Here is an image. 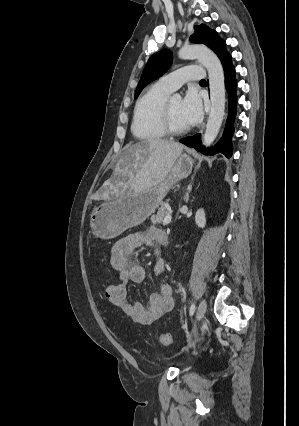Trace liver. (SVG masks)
Listing matches in <instances>:
<instances>
[{"label":"liver","instance_id":"6515ba94","mask_svg":"<svg viewBox=\"0 0 299 426\" xmlns=\"http://www.w3.org/2000/svg\"><path fill=\"white\" fill-rule=\"evenodd\" d=\"M183 148L179 143L158 138L129 144L116 164L114 175L126 178V186L131 190L151 188L167 177Z\"/></svg>","mask_w":299,"mask_h":426}]
</instances>
